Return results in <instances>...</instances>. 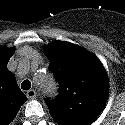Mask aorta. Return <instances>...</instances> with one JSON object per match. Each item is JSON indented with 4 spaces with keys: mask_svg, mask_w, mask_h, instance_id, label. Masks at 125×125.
<instances>
[{
    "mask_svg": "<svg viewBox=\"0 0 125 125\" xmlns=\"http://www.w3.org/2000/svg\"><path fill=\"white\" fill-rule=\"evenodd\" d=\"M41 88L43 92L47 95L52 96L53 94L56 93L57 90L56 83L54 82L52 74L48 72L42 74Z\"/></svg>",
    "mask_w": 125,
    "mask_h": 125,
    "instance_id": "aorta-1",
    "label": "aorta"
}]
</instances>
